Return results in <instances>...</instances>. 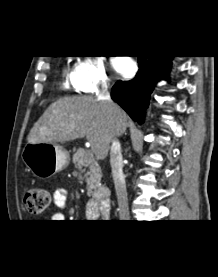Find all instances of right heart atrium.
Returning <instances> with one entry per match:
<instances>
[{
  "mask_svg": "<svg viewBox=\"0 0 218 277\" xmlns=\"http://www.w3.org/2000/svg\"><path fill=\"white\" fill-rule=\"evenodd\" d=\"M109 77L104 59L99 55H87L76 66L73 86L82 93H91L107 88Z\"/></svg>",
  "mask_w": 218,
  "mask_h": 277,
  "instance_id": "obj_1",
  "label": "right heart atrium"
}]
</instances>
